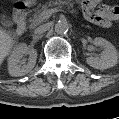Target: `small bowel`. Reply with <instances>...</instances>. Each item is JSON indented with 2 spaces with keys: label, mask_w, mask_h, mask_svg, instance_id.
Listing matches in <instances>:
<instances>
[{
  "label": "small bowel",
  "mask_w": 119,
  "mask_h": 119,
  "mask_svg": "<svg viewBox=\"0 0 119 119\" xmlns=\"http://www.w3.org/2000/svg\"><path fill=\"white\" fill-rule=\"evenodd\" d=\"M81 9L86 20L103 28H108L119 19V7L102 4L97 0H84Z\"/></svg>",
  "instance_id": "c3829d8e"
}]
</instances>
